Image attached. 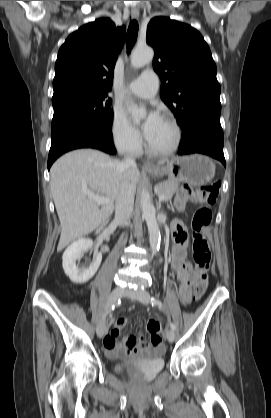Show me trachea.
Listing matches in <instances>:
<instances>
[{
    "mask_svg": "<svg viewBox=\"0 0 271 418\" xmlns=\"http://www.w3.org/2000/svg\"><path fill=\"white\" fill-rule=\"evenodd\" d=\"M138 35V23L132 20L129 24L126 38L127 49L130 50L134 46Z\"/></svg>",
    "mask_w": 271,
    "mask_h": 418,
    "instance_id": "1",
    "label": "trachea"
}]
</instances>
